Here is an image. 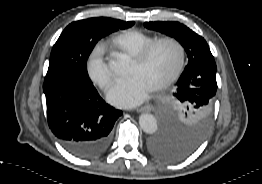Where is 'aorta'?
<instances>
[{
    "instance_id": "obj_1",
    "label": "aorta",
    "mask_w": 262,
    "mask_h": 184,
    "mask_svg": "<svg viewBox=\"0 0 262 184\" xmlns=\"http://www.w3.org/2000/svg\"><path fill=\"white\" fill-rule=\"evenodd\" d=\"M116 70V67H114ZM139 125L147 134H153L157 131L158 125L156 118L150 113H143L139 117Z\"/></svg>"
}]
</instances>
